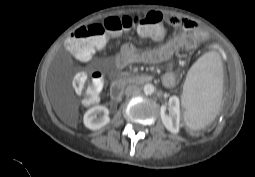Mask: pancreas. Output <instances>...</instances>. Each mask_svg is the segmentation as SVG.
Here are the masks:
<instances>
[{"label":"pancreas","instance_id":"1","mask_svg":"<svg viewBox=\"0 0 255 177\" xmlns=\"http://www.w3.org/2000/svg\"><path fill=\"white\" fill-rule=\"evenodd\" d=\"M121 75H122V76H128V75H129V73H127V72H123Z\"/></svg>","mask_w":255,"mask_h":177}]
</instances>
